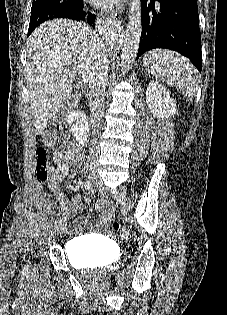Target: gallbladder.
<instances>
[{"label": "gallbladder", "instance_id": "bac80fb5", "mask_svg": "<svg viewBox=\"0 0 227 315\" xmlns=\"http://www.w3.org/2000/svg\"><path fill=\"white\" fill-rule=\"evenodd\" d=\"M67 108H64L59 113L56 114V116L53 118V121L56 123H61L64 121L66 117Z\"/></svg>", "mask_w": 227, "mask_h": 315}]
</instances>
